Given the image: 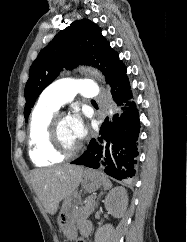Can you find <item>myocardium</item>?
Returning a JSON list of instances; mask_svg holds the SVG:
<instances>
[{
    "mask_svg": "<svg viewBox=\"0 0 187 242\" xmlns=\"http://www.w3.org/2000/svg\"><path fill=\"white\" fill-rule=\"evenodd\" d=\"M67 118L65 113L56 112L50 119L47 130H46V140L50 151L61 157V158H69L76 155L81 150V143L71 149V150H64L58 144L57 138V126L60 120Z\"/></svg>",
    "mask_w": 187,
    "mask_h": 242,
    "instance_id": "1",
    "label": "myocardium"
}]
</instances>
